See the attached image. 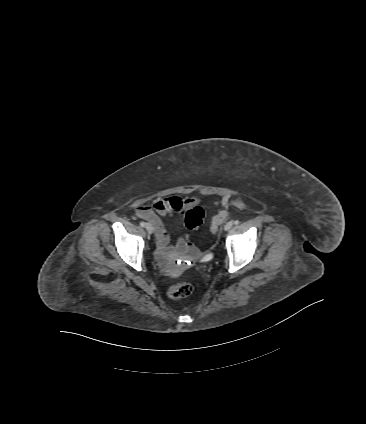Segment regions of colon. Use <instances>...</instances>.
Wrapping results in <instances>:
<instances>
[{"label": "colon", "instance_id": "1", "mask_svg": "<svg viewBox=\"0 0 366 424\" xmlns=\"http://www.w3.org/2000/svg\"><path fill=\"white\" fill-rule=\"evenodd\" d=\"M229 215V211L222 209L220 210L210 222V232L214 233L218 227L226 220ZM204 220V211L200 206H194L189 208L185 212L184 221L188 229L194 230L197 229ZM189 252L191 254H196L197 249L190 245ZM193 292V287L191 284L183 282L176 285H173L168 290V294L172 298H184L189 296Z\"/></svg>", "mask_w": 366, "mask_h": 424}]
</instances>
